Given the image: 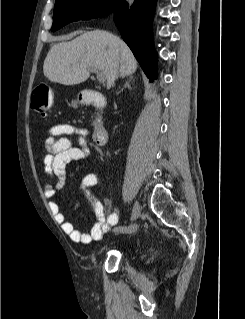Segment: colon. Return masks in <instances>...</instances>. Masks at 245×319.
I'll return each instance as SVG.
<instances>
[{
	"label": "colon",
	"instance_id": "colon-1",
	"mask_svg": "<svg viewBox=\"0 0 245 319\" xmlns=\"http://www.w3.org/2000/svg\"><path fill=\"white\" fill-rule=\"evenodd\" d=\"M54 99L52 88L48 84L38 85L32 93L31 107L33 112L41 117L47 115Z\"/></svg>",
	"mask_w": 245,
	"mask_h": 319
}]
</instances>
